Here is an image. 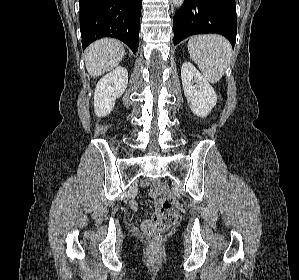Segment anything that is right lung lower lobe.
Masks as SVG:
<instances>
[{"label":"right lung lower lobe","instance_id":"right-lung-lower-lobe-1","mask_svg":"<svg viewBox=\"0 0 299 280\" xmlns=\"http://www.w3.org/2000/svg\"><path fill=\"white\" fill-rule=\"evenodd\" d=\"M83 50L93 41L113 37L135 53L139 45L142 0H79Z\"/></svg>","mask_w":299,"mask_h":280}]
</instances>
